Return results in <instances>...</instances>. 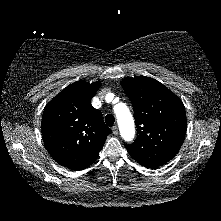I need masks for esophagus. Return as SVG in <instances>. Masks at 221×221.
Wrapping results in <instances>:
<instances>
[{
	"instance_id": "1",
	"label": "esophagus",
	"mask_w": 221,
	"mask_h": 221,
	"mask_svg": "<svg viewBox=\"0 0 221 221\" xmlns=\"http://www.w3.org/2000/svg\"><path fill=\"white\" fill-rule=\"evenodd\" d=\"M112 132H113L114 135H117L118 132H119V131H118V127H117V126H113V127H112Z\"/></svg>"
}]
</instances>
